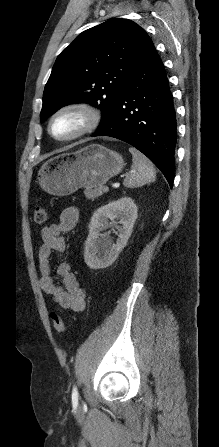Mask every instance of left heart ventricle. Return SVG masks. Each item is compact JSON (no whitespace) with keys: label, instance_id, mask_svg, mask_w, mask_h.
Wrapping results in <instances>:
<instances>
[{"label":"left heart ventricle","instance_id":"1","mask_svg":"<svg viewBox=\"0 0 219 447\" xmlns=\"http://www.w3.org/2000/svg\"><path fill=\"white\" fill-rule=\"evenodd\" d=\"M82 124V117L77 113H68L59 116L52 125V131L56 136H67L76 131Z\"/></svg>","mask_w":219,"mask_h":447}]
</instances>
